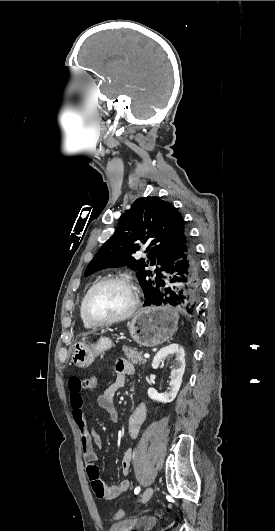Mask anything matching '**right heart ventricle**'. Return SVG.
<instances>
[{
	"instance_id": "1",
	"label": "right heart ventricle",
	"mask_w": 275,
	"mask_h": 531,
	"mask_svg": "<svg viewBox=\"0 0 275 531\" xmlns=\"http://www.w3.org/2000/svg\"><path fill=\"white\" fill-rule=\"evenodd\" d=\"M82 319H83V318H82ZM83 323H84V325H85L86 327H88V328H91V327H92L91 325H89L88 323H86L84 320H83Z\"/></svg>"
}]
</instances>
